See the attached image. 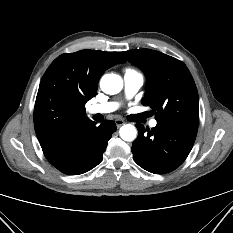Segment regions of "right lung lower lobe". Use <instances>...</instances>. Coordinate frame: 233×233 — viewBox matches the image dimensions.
Returning <instances> with one entry per match:
<instances>
[{
  "label": "right lung lower lobe",
  "mask_w": 233,
  "mask_h": 233,
  "mask_svg": "<svg viewBox=\"0 0 233 233\" xmlns=\"http://www.w3.org/2000/svg\"><path fill=\"white\" fill-rule=\"evenodd\" d=\"M115 131L116 125L110 120L99 126L95 122L88 123L72 138L42 150L47 160L62 173L83 174L102 161L108 140Z\"/></svg>",
  "instance_id": "right-lung-lower-lobe-1"
}]
</instances>
